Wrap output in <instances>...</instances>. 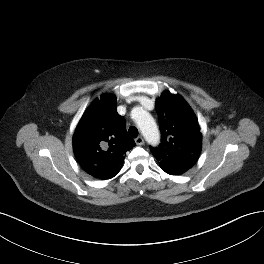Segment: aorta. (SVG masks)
Masks as SVG:
<instances>
[{
    "instance_id": "aorta-1",
    "label": "aorta",
    "mask_w": 264,
    "mask_h": 264,
    "mask_svg": "<svg viewBox=\"0 0 264 264\" xmlns=\"http://www.w3.org/2000/svg\"><path fill=\"white\" fill-rule=\"evenodd\" d=\"M135 120L146 141L156 145L159 142L160 134L153 117L147 111L138 108Z\"/></svg>"
}]
</instances>
